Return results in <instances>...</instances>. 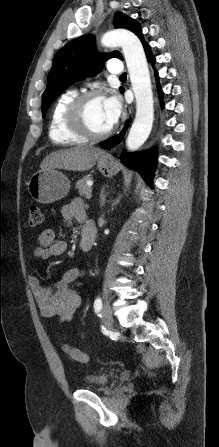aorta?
Instances as JSON below:
<instances>
[{
  "label": "aorta",
  "mask_w": 219,
  "mask_h": 447,
  "mask_svg": "<svg viewBox=\"0 0 219 447\" xmlns=\"http://www.w3.org/2000/svg\"><path fill=\"white\" fill-rule=\"evenodd\" d=\"M101 43L105 47H122L136 99V115L126 140L128 149L134 151L147 140L154 119L153 93L145 52L138 37L125 29L106 32Z\"/></svg>",
  "instance_id": "1"
}]
</instances>
